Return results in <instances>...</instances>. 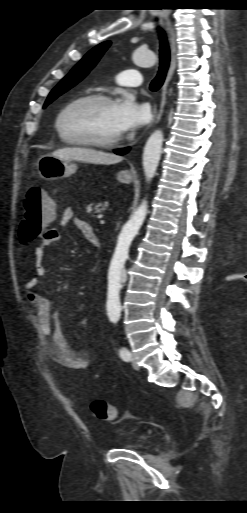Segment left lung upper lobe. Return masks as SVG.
I'll use <instances>...</instances> for the list:
<instances>
[{
  "mask_svg": "<svg viewBox=\"0 0 247 513\" xmlns=\"http://www.w3.org/2000/svg\"><path fill=\"white\" fill-rule=\"evenodd\" d=\"M111 42L106 41L103 42L92 50H90L70 71V73L65 76L61 82L51 91L49 94L44 108L54 101L57 97L68 91L70 88L75 86L78 82H80L89 72L90 70L97 64L99 59L102 57L104 52L108 49Z\"/></svg>",
  "mask_w": 247,
  "mask_h": 513,
  "instance_id": "5c2ea615",
  "label": "left lung upper lobe"
}]
</instances>
